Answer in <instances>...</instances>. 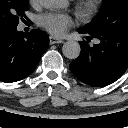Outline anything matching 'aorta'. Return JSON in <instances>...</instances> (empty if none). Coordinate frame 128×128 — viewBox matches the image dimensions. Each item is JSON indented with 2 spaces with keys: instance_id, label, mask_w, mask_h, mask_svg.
I'll return each mask as SVG.
<instances>
[{
  "instance_id": "762f6f07",
  "label": "aorta",
  "mask_w": 128,
  "mask_h": 128,
  "mask_svg": "<svg viewBox=\"0 0 128 128\" xmlns=\"http://www.w3.org/2000/svg\"><path fill=\"white\" fill-rule=\"evenodd\" d=\"M40 4L48 9H58L65 7L66 0H40ZM80 51V44L73 40L65 42L62 47V52L68 59H76Z\"/></svg>"
}]
</instances>
